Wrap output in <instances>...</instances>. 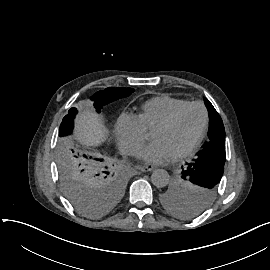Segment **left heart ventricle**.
Listing matches in <instances>:
<instances>
[{"mask_svg": "<svg viewBox=\"0 0 270 270\" xmlns=\"http://www.w3.org/2000/svg\"><path fill=\"white\" fill-rule=\"evenodd\" d=\"M202 120L203 114L200 108H189L181 115L174 126L154 128L149 139L167 142L178 155L195 141L200 132Z\"/></svg>", "mask_w": 270, "mask_h": 270, "instance_id": "1", "label": "left heart ventricle"}]
</instances>
